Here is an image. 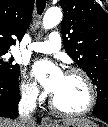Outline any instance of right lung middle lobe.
<instances>
[{
    "instance_id": "right-lung-middle-lobe-1",
    "label": "right lung middle lobe",
    "mask_w": 108,
    "mask_h": 127,
    "mask_svg": "<svg viewBox=\"0 0 108 127\" xmlns=\"http://www.w3.org/2000/svg\"><path fill=\"white\" fill-rule=\"evenodd\" d=\"M7 51H0V76H3L7 79H15L19 76L20 67L17 64H12L14 61L13 58L6 60L4 55Z\"/></svg>"
}]
</instances>
